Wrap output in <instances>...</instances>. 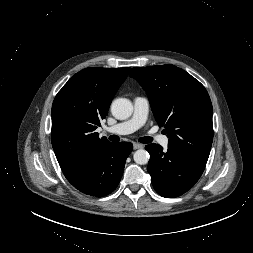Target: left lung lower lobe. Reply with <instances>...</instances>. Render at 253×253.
<instances>
[{
  "instance_id": "0a47b994",
  "label": "left lung lower lobe",
  "mask_w": 253,
  "mask_h": 253,
  "mask_svg": "<svg viewBox=\"0 0 253 253\" xmlns=\"http://www.w3.org/2000/svg\"><path fill=\"white\" fill-rule=\"evenodd\" d=\"M147 170L156 192L167 198L178 197L191 189L201 177L206 162L168 148L166 152L158 144H149Z\"/></svg>"
}]
</instances>
